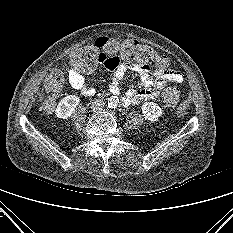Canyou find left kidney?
Here are the masks:
<instances>
[{
  "label": "left kidney",
  "instance_id": "left-kidney-1",
  "mask_svg": "<svg viewBox=\"0 0 233 233\" xmlns=\"http://www.w3.org/2000/svg\"><path fill=\"white\" fill-rule=\"evenodd\" d=\"M142 113L145 119L155 122L163 114V110L153 102H145L142 105Z\"/></svg>",
  "mask_w": 233,
  "mask_h": 233
}]
</instances>
